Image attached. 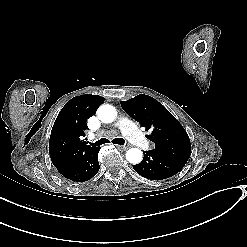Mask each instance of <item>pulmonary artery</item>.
<instances>
[{
	"label": "pulmonary artery",
	"mask_w": 247,
	"mask_h": 247,
	"mask_svg": "<svg viewBox=\"0 0 247 247\" xmlns=\"http://www.w3.org/2000/svg\"><path fill=\"white\" fill-rule=\"evenodd\" d=\"M114 125L120 129L122 135L131 144L140 146L143 149H155L156 144L146 140L145 133L141 130L139 124L126 114L120 113Z\"/></svg>",
	"instance_id": "obj_1"
}]
</instances>
